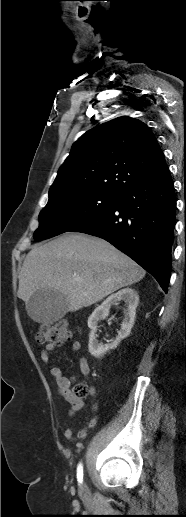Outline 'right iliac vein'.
Returning <instances> with one entry per match:
<instances>
[{
    "label": "right iliac vein",
    "mask_w": 186,
    "mask_h": 517,
    "mask_svg": "<svg viewBox=\"0 0 186 517\" xmlns=\"http://www.w3.org/2000/svg\"><path fill=\"white\" fill-rule=\"evenodd\" d=\"M81 491H82V492L84 491V488H83V487L81 488Z\"/></svg>",
    "instance_id": "1"
}]
</instances>
